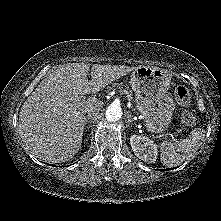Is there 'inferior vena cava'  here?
Returning a JSON list of instances; mask_svg holds the SVG:
<instances>
[{
	"label": "inferior vena cava",
	"mask_w": 221,
	"mask_h": 221,
	"mask_svg": "<svg viewBox=\"0 0 221 221\" xmlns=\"http://www.w3.org/2000/svg\"><path fill=\"white\" fill-rule=\"evenodd\" d=\"M102 105H93L86 109L88 116L95 115L99 113Z\"/></svg>",
	"instance_id": "602c4592"
}]
</instances>
